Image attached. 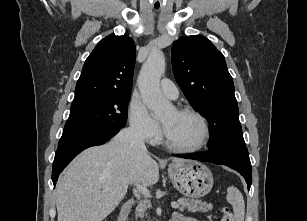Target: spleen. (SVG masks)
I'll return each mask as SVG.
<instances>
[{"label":"spleen","instance_id":"obj_1","mask_svg":"<svg viewBox=\"0 0 307 221\" xmlns=\"http://www.w3.org/2000/svg\"><path fill=\"white\" fill-rule=\"evenodd\" d=\"M227 201L232 205L236 221H244L245 203L242 193L234 186L227 189Z\"/></svg>","mask_w":307,"mask_h":221}]
</instances>
